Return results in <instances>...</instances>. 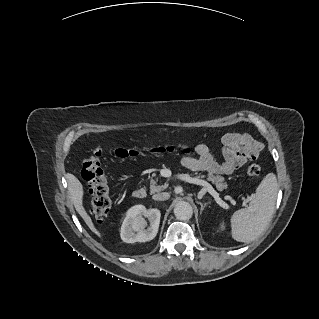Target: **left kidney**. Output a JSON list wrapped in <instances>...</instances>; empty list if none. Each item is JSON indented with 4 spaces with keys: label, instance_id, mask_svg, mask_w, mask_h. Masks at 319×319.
<instances>
[{
    "label": "left kidney",
    "instance_id": "5707ae66",
    "mask_svg": "<svg viewBox=\"0 0 319 319\" xmlns=\"http://www.w3.org/2000/svg\"><path fill=\"white\" fill-rule=\"evenodd\" d=\"M220 228H221L222 230L225 228L224 223H221V224H220Z\"/></svg>",
    "mask_w": 319,
    "mask_h": 319
}]
</instances>
